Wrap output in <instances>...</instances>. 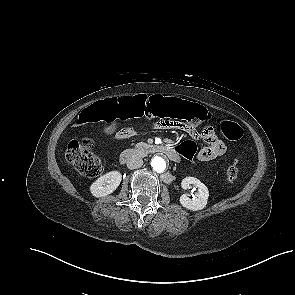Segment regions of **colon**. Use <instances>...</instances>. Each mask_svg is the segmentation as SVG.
Returning <instances> with one entry per match:
<instances>
[{
  "label": "colon",
  "mask_w": 295,
  "mask_h": 295,
  "mask_svg": "<svg viewBox=\"0 0 295 295\" xmlns=\"http://www.w3.org/2000/svg\"><path fill=\"white\" fill-rule=\"evenodd\" d=\"M168 118L173 121H182L191 126H197L210 118L208 111L201 105L180 100L165 99L162 97L147 98L143 96L109 101L92 105L80 114L77 124L85 126L94 122L114 123L135 117ZM217 132L228 140H238L242 137V128L230 120H222L217 125ZM93 143L88 138H73L66 149V158L74 168L86 177H96L102 173L103 167L99 158L91 151ZM179 151L186 159L196 154L195 145L191 141L180 145ZM239 174V166L234 161L226 170L228 182L234 181Z\"/></svg>",
  "instance_id": "colon-1"
}]
</instances>
